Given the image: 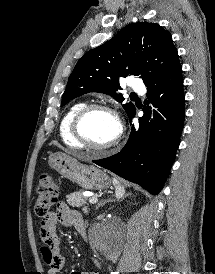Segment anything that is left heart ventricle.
Instances as JSON below:
<instances>
[{
    "mask_svg": "<svg viewBox=\"0 0 215 274\" xmlns=\"http://www.w3.org/2000/svg\"><path fill=\"white\" fill-rule=\"evenodd\" d=\"M85 136L96 145L111 142L118 134V123L113 115L105 111H94L82 125Z\"/></svg>",
    "mask_w": 215,
    "mask_h": 274,
    "instance_id": "b2bd125f",
    "label": "left heart ventricle"
}]
</instances>
